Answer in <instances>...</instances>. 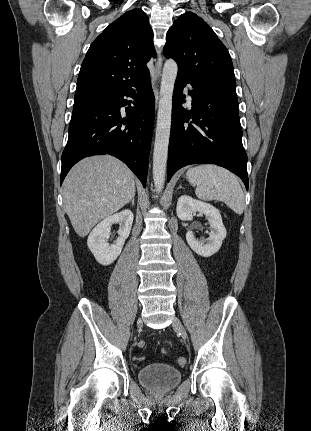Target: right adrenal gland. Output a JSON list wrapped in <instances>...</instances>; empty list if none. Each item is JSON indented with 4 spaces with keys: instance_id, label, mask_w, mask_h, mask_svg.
I'll return each mask as SVG.
<instances>
[{
    "instance_id": "right-adrenal-gland-1",
    "label": "right adrenal gland",
    "mask_w": 311,
    "mask_h": 431,
    "mask_svg": "<svg viewBox=\"0 0 311 431\" xmlns=\"http://www.w3.org/2000/svg\"><path fill=\"white\" fill-rule=\"evenodd\" d=\"M130 202H131L132 206H134V204H135L134 196H133V198H131ZM130 202H128V204H130Z\"/></svg>"
}]
</instances>
